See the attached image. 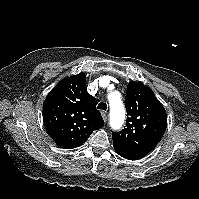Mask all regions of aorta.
<instances>
[{"label": "aorta", "mask_w": 199, "mask_h": 199, "mask_svg": "<svg viewBox=\"0 0 199 199\" xmlns=\"http://www.w3.org/2000/svg\"><path fill=\"white\" fill-rule=\"evenodd\" d=\"M110 100V125L113 129H119L125 119V109L122 101L117 98L113 99L111 96Z\"/></svg>", "instance_id": "762f6f07"}]
</instances>
